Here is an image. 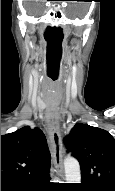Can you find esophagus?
<instances>
[{"mask_svg":"<svg viewBox=\"0 0 115 191\" xmlns=\"http://www.w3.org/2000/svg\"><path fill=\"white\" fill-rule=\"evenodd\" d=\"M49 138L51 142L52 161L59 175L63 178V152L59 125L52 112L48 121Z\"/></svg>","mask_w":115,"mask_h":191,"instance_id":"obj_1","label":"esophagus"}]
</instances>
